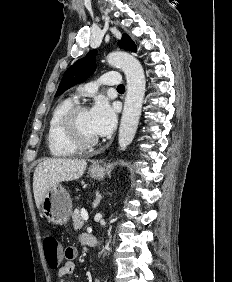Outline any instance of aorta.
Listing matches in <instances>:
<instances>
[{
  "label": "aorta",
  "mask_w": 232,
  "mask_h": 282,
  "mask_svg": "<svg viewBox=\"0 0 232 282\" xmlns=\"http://www.w3.org/2000/svg\"><path fill=\"white\" fill-rule=\"evenodd\" d=\"M107 62L122 69L127 80V93L118 135L121 150L132 142L139 123L145 95V75L140 62L131 54L115 51L107 56Z\"/></svg>",
  "instance_id": "obj_1"
}]
</instances>
